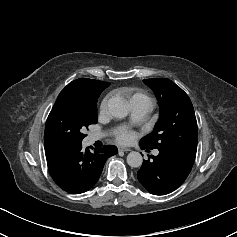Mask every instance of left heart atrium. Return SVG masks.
Returning a JSON list of instances; mask_svg holds the SVG:
<instances>
[{
	"label": "left heart atrium",
	"mask_w": 237,
	"mask_h": 237,
	"mask_svg": "<svg viewBox=\"0 0 237 237\" xmlns=\"http://www.w3.org/2000/svg\"><path fill=\"white\" fill-rule=\"evenodd\" d=\"M135 133L132 131L128 130L127 128H122L119 130L116 140L120 144H130L135 140Z\"/></svg>",
	"instance_id": "39dd6f15"
}]
</instances>
